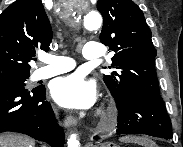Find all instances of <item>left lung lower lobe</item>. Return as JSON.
Masks as SVG:
<instances>
[{"label":"left lung lower lobe","instance_id":"left-lung-lower-lobe-1","mask_svg":"<svg viewBox=\"0 0 183 147\" xmlns=\"http://www.w3.org/2000/svg\"><path fill=\"white\" fill-rule=\"evenodd\" d=\"M116 106L117 134H146L172 139L171 121L160 95L133 92L127 94Z\"/></svg>","mask_w":183,"mask_h":147}]
</instances>
